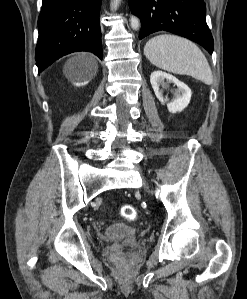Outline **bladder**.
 I'll return each instance as SVG.
<instances>
[{
  "label": "bladder",
  "mask_w": 247,
  "mask_h": 299,
  "mask_svg": "<svg viewBox=\"0 0 247 299\" xmlns=\"http://www.w3.org/2000/svg\"><path fill=\"white\" fill-rule=\"evenodd\" d=\"M138 234V230L134 227L126 224H112L108 226L104 232V238L106 240H116L127 236H133Z\"/></svg>",
  "instance_id": "1"
}]
</instances>
